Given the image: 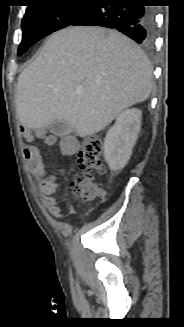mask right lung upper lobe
<instances>
[{
  "label": "right lung upper lobe",
  "instance_id": "right-lung-upper-lobe-1",
  "mask_svg": "<svg viewBox=\"0 0 184 327\" xmlns=\"http://www.w3.org/2000/svg\"><path fill=\"white\" fill-rule=\"evenodd\" d=\"M31 3H34V4H36V3H40V2H44V1H48V0H29ZM33 5V4H32ZM31 6V5H30ZM30 6H28V7H30Z\"/></svg>",
  "mask_w": 184,
  "mask_h": 327
}]
</instances>
